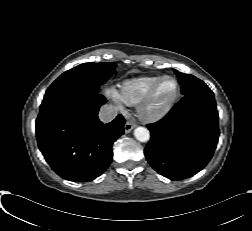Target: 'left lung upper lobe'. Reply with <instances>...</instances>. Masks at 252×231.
<instances>
[{
  "label": "left lung upper lobe",
  "mask_w": 252,
  "mask_h": 231,
  "mask_svg": "<svg viewBox=\"0 0 252 231\" xmlns=\"http://www.w3.org/2000/svg\"><path fill=\"white\" fill-rule=\"evenodd\" d=\"M175 74L178 76L179 83L182 86L183 95L195 92L211 91L202 80L194 77L193 75L184 74L177 70H175Z\"/></svg>",
  "instance_id": "1"
}]
</instances>
